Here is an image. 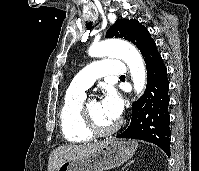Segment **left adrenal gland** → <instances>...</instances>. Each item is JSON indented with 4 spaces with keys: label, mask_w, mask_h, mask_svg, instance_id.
I'll use <instances>...</instances> for the list:
<instances>
[{
    "label": "left adrenal gland",
    "mask_w": 199,
    "mask_h": 171,
    "mask_svg": "<svg viewBox=\"0 0 199 171\" xmlns=\"http://www.w3.org/2000/svg\"><path fill=\"white\" fill-rule=\"evenodd\" d=\"M133 162H134V161L131 160L129 163H127V164L122 168L121 171H124V169L127 168L129 165H131Z\"/></svg>",
    "instance_id": "1"
}]
</instances>
